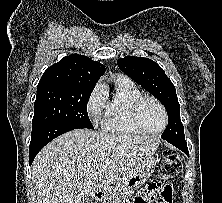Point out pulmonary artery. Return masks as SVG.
Wrapping results in <instances>:
<instances>
[{
	"label": "pulmonary artery",
	"instance_id": "1",
	"mask_svg": "<svg viewBox=\"0 0 222 203\" xmlns=\"http://www.w3.org/2000/svg\"><path fill=\"white\" fill-rule=\"evenodd\" d=\"M119 78H125V77H123V76H120Z\"/></svg>",
	"mask_w": 222,
	"mask_h": 203
}]
</instances>
